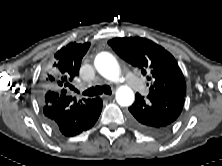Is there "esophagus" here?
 <instances>
[{
	"instance_id": "1",
	"label": "esophagus",
	"mask_w": 222,
	"mask_h": 166,
	"mask_svg": "<svg viewBox=\"0 0 222 166\" xmlns=\"http://www.w3.org/2000/svg\"><path fill=\"white\" fill-rule=\"evenodd\" d=\"M103 97H104L105 99H111V98H113V95H103Z\"/></svg>"
}]
</instances>
